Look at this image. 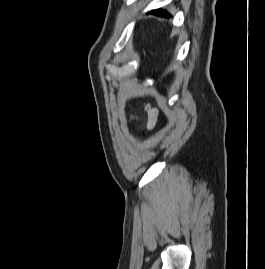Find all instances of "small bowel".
I'll return each mask as SVG.
<instances>
[{"instance_id":"c3829d8e","label":"small bowel","mask_w":265,"mask_h":269,"mask_svg":"<svg viewBox=\"0 0 265 269\" xmlns=\"http://www.w3.org/2000/svg\"><path fill=\"white\" fill-rule=\"evenodd\" d=\"M157 121V111L151 107L148 108V121H147V129L150 130L154 127Z\"/></svg>"}]
</instances>
